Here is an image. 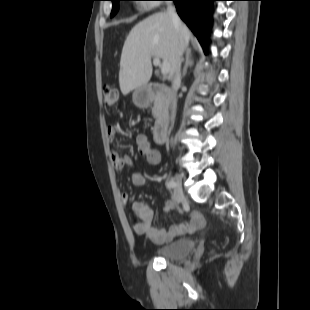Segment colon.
<instances>
[{"label": "colon", "mask_w": 310, "mask_h": 310, "mask_svg": "<svg viewBox=\"0 0 310 310\" xmlns=\"http://www.w3.org/2000/svg\"><path fill=\"white\" fill-rule=\"evenodd\" d=\"M118 99L117 90L109 85L104 86L102 92V103L106 108H112Z\"/></svg>", "instance_id": "obj_1"}]
</instances>
